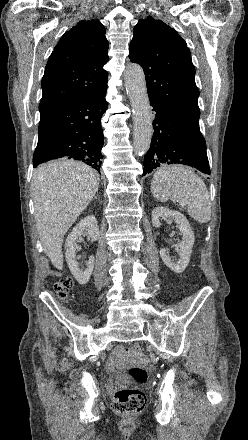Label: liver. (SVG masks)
<instances>
[{
	"mask_svg": "<svg viewBox=\"0 0 248 440\" xmlns=\"http://www.w3.org/2000/svg\"><path fill=\"white\" fill-rule=\"evenodd\" d=\"M99 182L94 169L67 158L42 164L33 174L36 227L44 253L59 270L64 235L98 191Z\"/></svg>",
	"mask_w": 248,
	"mask_h": 440,
	"instance_id": "6515ba94",
	"label": "liver"
}]
</instances>
